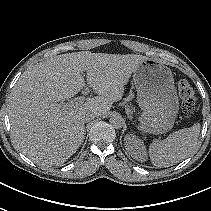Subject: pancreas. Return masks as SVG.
<instances>
[{"mask_svg": "<svg viewBox=\"0 0 211 211\" xmlns=\"http://www.w3.org/2000/svg\"><path fill=\"white\" fill-rule=\"evenodd\" d=\"M125 103H128V99H125ZM135 111V108L129 105H126V113L131 115Z\"/></svg>", "mask_w": 211, "mask_h": 211, "instance_id": "cf45deb5", "label": "pancreas"}]
</instances>
